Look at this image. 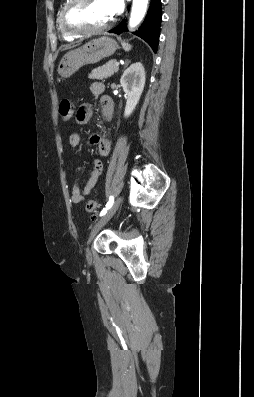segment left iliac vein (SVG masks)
I'll return each instance as SVG.
<instances>
[{"label":"left iliac vein","mask_w":254,"mask_h":397,"mask_svg":"<svg viewBox=\"0 0 254 397\" xmlns=\"http://www.w3.org/2000/svg\"><path fill=\"white\" fill-rule=\"evenodd\" d=\"M122 202V197L119 196L115 202L113 203V205L110 207V209L106 212L105 215H103L100 220L93 226L87 245H89L91 243V241L93 240L94 236L97 234V232L110 220V218L115 214V212L117 211V209L119 208L120 204ZM86 257L88 260L91 259V253L89 251V249L86 252Z\"/></svg>","instance_id":"4c4485c4"}]
</instances>
